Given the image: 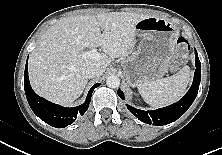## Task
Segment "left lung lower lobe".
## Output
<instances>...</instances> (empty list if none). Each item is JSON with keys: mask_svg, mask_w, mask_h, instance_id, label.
Wrapping results in <instances>:
<instances>
[{"mask_svg": "<svg viewBox=\"0 0 222 155\" xmlns=\"http://www.w3.org/2000/svg\"><path fill=\"white\" fill-rule=\"evenodd\" d=\"M195 64H196V70L194 73L192 86L181 100L170 106L152 111H143L131 107L130 105H127L128 110L133 115H135L139 120L147 124L166 125L176 121L188 110V108L191 106L198 93L200 85L201 63L196 51H195ZM118 95L122 99H124V94L121 90H118Z\"/></svg>", "mask_w": 222, "mask_h": 155, "instance_id": "obj_1", "label": "left lung lower lobe"}]
</instances>
